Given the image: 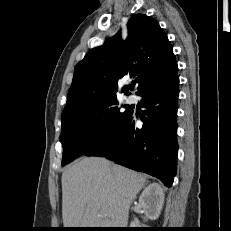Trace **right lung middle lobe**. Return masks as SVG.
<instances>
[{
  "label": "right lung middle lobe",
  "mask_w": 231,
  "mask_h": 231,
  "mask_svg": "<svg viewBox=\"0 0 231 231\" xmlns=\"http://www.w3.org/2000/svg\"><path fill=\"white\" fill-rule=\"evenodd\" d=\"M118 101L62 115L60 142L62 165L95 150L108 141L123 125L130 110L120 111Z\"/></svg>",
  "instance_id": "dd1d6c3e"
}]
</instances>
